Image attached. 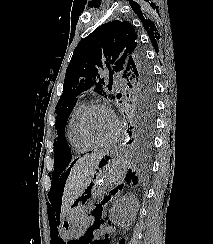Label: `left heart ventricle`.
<instances>
[{
    "instance_id": "obj_1",
    "label": "left heart ventricle",
    "mask_w": 213,
    "mask_h": 244,
    "mask_svg": "<svg viewBox=\"0 0 213 244\" xmlns=\"http://www.w3.org/2000/svg\"><path fill=\"white\" fill-rule=\"evenodd\" d=\"M115 122L108 112L93 110L85 122V131L94 141L109 140L115 133Z\"/></svg>"
}]
</instances>
